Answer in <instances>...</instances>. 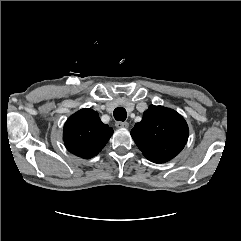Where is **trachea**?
Returning a JSON list of instances; mask_svg holds the SVG:
<instances>
[{
    "instance_id": "3493384b",
    "label": "trachea",
    "mask_w": 241,
    "mask_h": 241,
    "mask_svg": "<svg viewBox=\"0 0 241 241\" xmlns=\"http://www.w3.org/2000/svg\"><path fill=\"white\" fill-rule=\"evenodd\" d=\"M114 118L118 121H125L127 118V112L124 108L118 107L113 112Z\"/></svg>"
}]
</instances>
